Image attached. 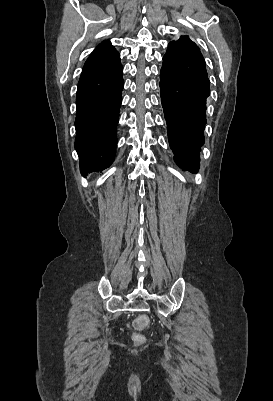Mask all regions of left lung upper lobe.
Returning <instances> with one entry per match:
<instances>
[{
	"instance_id": "5c2ea615",
	"label": "left lung upper lobe",
	"mask_w": 273,
	"mask_h": 401,
	"mask_svg": "<svg viewBox=\"0 0 273 401\" xmlns=\"http://www.w3.org/2000/svg\"><path fill=\"white\" fill-rule=\"evenodd\" d=\"M184 37H187V36H181V38H184Z\"/></svg>"
}]
</instances>
